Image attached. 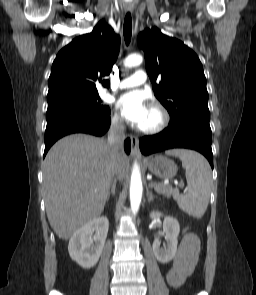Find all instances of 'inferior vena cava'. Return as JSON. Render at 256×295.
I'll return each mask as SVG.
<instances>
[{
  "label": "inferior vena cava",
  "mask_w": 256,
  "mask_h": 295,
  "mask_svg": "<svg viewBox=\"0 0 256 295\" xmlns=\"http://www.w3.org/2000/svg\"><path fill=\"white\" fill-rule=\"evenodd\" d=\"M124 139L125 127L119 119H114L108 134V145L113 158V164H111L112 177H121L120 167H122V159L120 157Z\"/></svg>",
  "instance_id": "obj_1"
}]
</instances>
